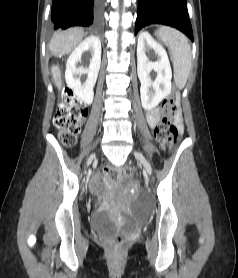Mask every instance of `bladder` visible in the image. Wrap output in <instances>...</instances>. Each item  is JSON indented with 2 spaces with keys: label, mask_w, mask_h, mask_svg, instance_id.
Segmentation results:
<instances>
[{
  "label": "bladder",
  "mask_w": 238,
  "mask_h": 278,
  "mask_svg": "<svg viewBox=\"0 0 238 278\" xmlns=\"http://www.w3.org/2000/svg\"><path fill=\"white\" fill-rule=\"evenodd\" d=\"M91 224L99 232H108L117 226L116 221L106 211H96L93 213Z\"/></svg>",
  "instance_id": "obj_1"
}]
</instances>
